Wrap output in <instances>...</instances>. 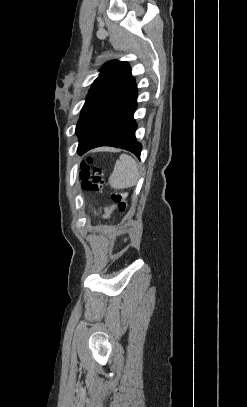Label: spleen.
<instances>
[{
    "mask_svg": "<svg viewBox=\"0 0 247 407\" xmlns=\"http://www.w3.org/2000/svg\"><path fill=\"white\" fill-rule=\"evenodd\" d=\"M139 178L137 162L129 155H120L109 177V184L114 189H126L136 185Z\"/></svg>",
    "mask_w": 247,
    "mask_h": 407,
    "instance_id": "spleen-1",
    "label": "spleen"
}]
</instances>
